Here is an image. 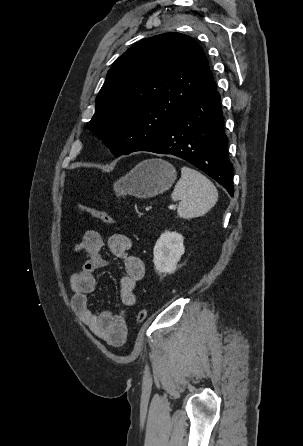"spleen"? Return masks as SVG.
I'll use <instances>...</instances> for the list:
<instances>
[{
	"instance_id": "3e777b00",
	"label": "spleen",
	"mask_w": 303,
	"mask_h": 446,
	"mask_svg": "<svg viewBox=\"0 0 303 446\" xmlns=\"http://www.w3.org/2000/svg\"><path fill=\"white\" fill-rule=\"evenodd\" d=\"M171 197L173 200H180L178 215L189 219L206 214L216 204L218 192L206 176L184 166Z\"/></svg>"
}]
</instances>
